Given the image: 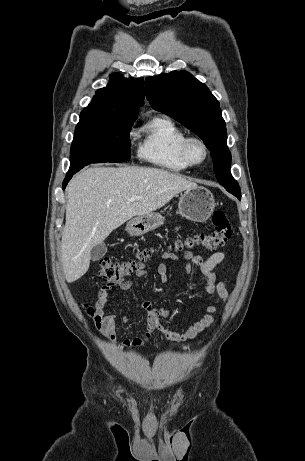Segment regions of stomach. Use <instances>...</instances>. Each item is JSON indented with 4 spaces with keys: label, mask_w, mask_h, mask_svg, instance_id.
Returning <instances> with one entry per match:
<instances>
[{
    "label": "stomach",
    "mask_w": 305,
    "mask_h": 461,
    "mask_svg": "<svg viewBox=\"0 0 305 461\" xmlns=\"http://www.w3.org/2000/svg\"><path fill=\"white\" fill-rule=\"evenodd\" d=\"M216 203L213 194L204 187H194L185 190L179 200V214L194 222L206 221L215 209ZM165 218L157 212L137 216L126 225V231L130 236H141L164 223Z\"/></svg>",
    "instance_id": "1"
}]
</instances>
